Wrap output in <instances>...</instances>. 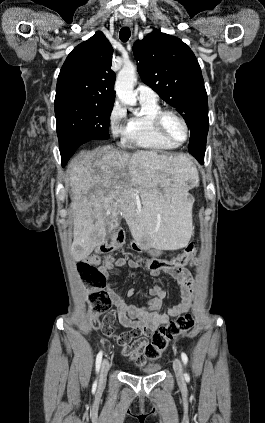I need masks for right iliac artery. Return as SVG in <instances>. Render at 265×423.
<instances>
[{"instance_id": "obj_1", "label": "right iliac artery", "mask_w": 265, "mask_h": 423, "mask_svg": "<svg viewBox=\"0 0 265 423\" xmlns=\"http://www.w3.org/2000/svg\"><path fill=\"white\" fill-rule=\"evenodd\" d=\"M102 351H100L96 357V372L98 373L100 370V366H101V361H102ZM96 385V382H95Z\"/></svg>"}]
</instances>
